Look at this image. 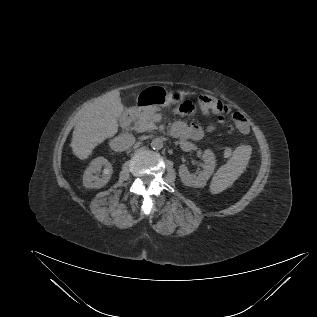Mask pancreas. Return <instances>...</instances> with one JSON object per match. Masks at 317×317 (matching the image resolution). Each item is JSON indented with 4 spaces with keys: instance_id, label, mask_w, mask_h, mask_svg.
Segmentation results:
<instances>
[{
    "instance_id": "obj_1",
    "label": "pancreas",
    "mask_w": 317,
    "mask_h": 317,
    "mask_svg": "<svg viewBox=\"0 0 317 317\" xmlns=\"http://www.w3.org/2000/svg\"><path fill=\"white\" fill-rule=\"evenodd\" d=\"M155 112V107L143 109V111L138 113L135 117L133 129L137 132L152 131L157 129V126L153 120V115Z\"/></svg>"
}]
</instances>
